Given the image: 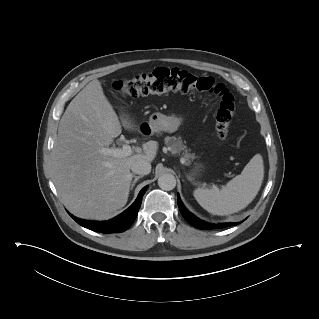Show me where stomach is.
I'll return each instance as SVG.
<instances>
[{"instance_id": "obj_1", "label": "stomach", "mask_w": 319, "mask_h": 319, "mask_svg": "<svg viewBox=\"0 0 319 319\" xmlns=\"http://www.w3.org/2000/svg\"><path fill=\"white\" fill-rule=\"evenodd\" d=\"M182 123V118L175 115L166 116L161 113H153L148 122L151 133L165 131L173 133L178 130Z\"/></svg>"}]
</instances>
